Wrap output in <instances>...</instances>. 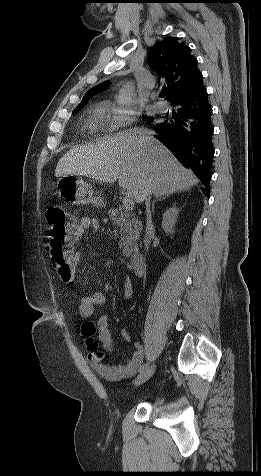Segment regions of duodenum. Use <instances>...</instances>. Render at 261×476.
Returning a JSON list of instances; mask_svg holds the SVG:
<instances>
[{
	"instance_id": "410a0bca",
	"label": "duodenum",
	"mask_w": 261,
	"mask_h": 476,
	"mask_svg": "<svg viewBox=\"0 0 261 476\" xmlns=\"http://www.w3.org/2000/svg\"><path fill=\"white\" fill-rule=\"evenodd\" d=\"M131 266L135 275L140 276L145 269V260L144 256L140 252L132 254L130 258Z\"/></svg>"
}]
</instances>
